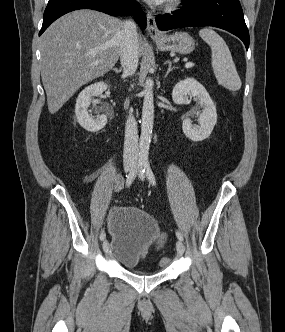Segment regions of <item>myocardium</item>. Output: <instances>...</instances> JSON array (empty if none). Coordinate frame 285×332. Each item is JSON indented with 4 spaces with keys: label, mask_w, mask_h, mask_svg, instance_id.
Returning a JSON list of instances; mask_svg holds the SVG:
<instances>
[{
    "label": "myocardium",
    "mask_w": 285,
    "mask_h": 332,
    "mask_svg": "<svg viewBox=\"0 0 285 332\" xmlns=\"http://www.w3.org/2000/svg\"><path fill=\"white\" fill-rule=\"evenodd\" d=\"M181 3V0H168L167 10H173Z\"/></svg>",
    "instance_id": "obj_1"
}]
</instances>
